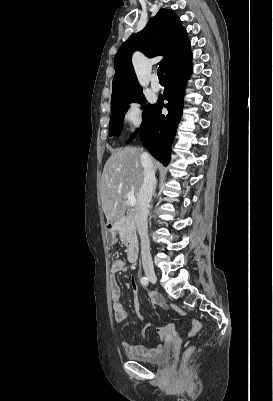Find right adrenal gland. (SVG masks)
<instances>
[{
	"label": "right adrenal gland",
	"instance_id": "1",
	"mask_svg": "<svg viewBox=\"0 0 273 401\" xmlns=\"http://www.w3.org/2000/svg\"><path fill=\"white\" fill-rule=\"evenodd\" d=\"M157 184H158V180H156V182L154 184L153 192H156Z\"/></svg>",
	"mask_w": 273,
	"mask_h": 401
}]
</instances>
